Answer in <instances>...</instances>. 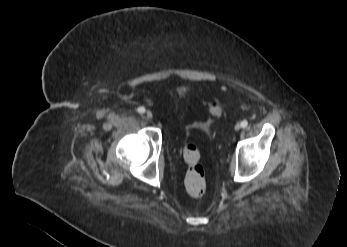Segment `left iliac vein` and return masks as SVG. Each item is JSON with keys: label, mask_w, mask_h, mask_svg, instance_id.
Wrapping results in <instances>:
<instances>
[{"label": "left iliac vein", "mask_w": 347, "mask_h": 247, "mask_svg": "<svg viewBox=\"0 0 347 247\" xmlns=\"http://www.w3.org/2000/svg\"><path fill=\"white\" fill-rule=\"evenodd\" d=\"M241 127H242L241 124L238 123V124L235 125L234 129H235L236 131H238V130L241 129Z\"/></svg>", "instance_id": "left-iliac-vein-1"}]
</instances>
